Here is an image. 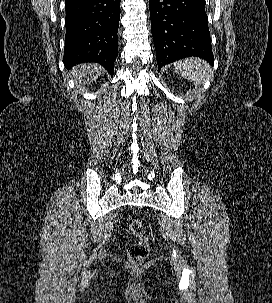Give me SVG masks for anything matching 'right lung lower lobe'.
Segmentation results:
<instances>
[{"instance_id": "right-lung-lower-lobe-1", "label": "right lung lower lobe", "mask_w": 272, "mask_h": 303, "mask_svg": "<svg viewBox=\"0 0 272 303\" xmlns=\"http://www.w3.org/2000/svg\"><path fill=\"white\" fill-rule=\"evenodd\" d=\"M121 0H72L65 3L66 68L97 62L113 75Z\"/></svg>"}]
</instances>
